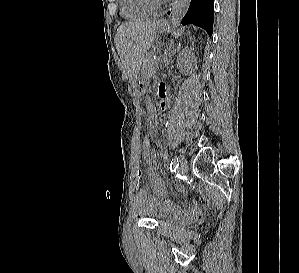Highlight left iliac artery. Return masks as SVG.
Segmentation results:
<instances>
[{
	"label": "left iliac artery",
	"mask_w": 299,
	"mask_h": 273,
	"mask_svg": "<svg viewBox=\"0 0 299 273\" xmlns=\"http://www.w3.org/2000/svg\"><path fill=\"white\" fill-rule=\"evenodd\" d=\"M179 165V160L177 157L173 158L170 164V171H175Z\"/></svg>",
	"instance_id": "1"
}]
</instances>
